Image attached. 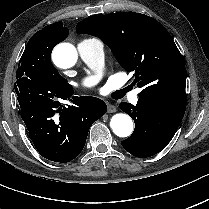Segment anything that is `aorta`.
Segmentation results:
<instances>
[{"label":"aorta","mask_w":209,"mask_h":209,"mask_svg":"<svg viewBox=\"0 0 209 209\" xmlns=\"http://www.w3.org/2000/svg\"><path fill=\"white\" fill-rule=\"evenodd\" d=\"M76 48L70 43H61L53 51V61L60 68H69L77 61ZM110 127L119 137H128L133 132V121L125 113L115 114L110 121Z\"/></svg>","instance_id":"aorta-1"}]
</instances>
